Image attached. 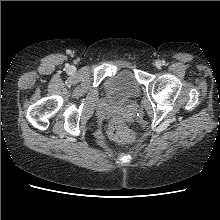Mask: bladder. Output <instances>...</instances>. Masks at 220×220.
Here are the masks:
<instances>
[{
  "label": "bladder",
  "mask_w": 220,
  "mask_h": 220,
  "mask_svg": "<svg viewBox=\"0 0 220 220\" xmlns=\"http://www.w3.org/2000/svg\"><path fill=\"white\" fill-rule=\"evenodd\" d=\"M106 91L116 102L125 103L139 95L140 85L132 73L122 70L107 80Z\"/></svg>",
  "instance_id": "bladder-1"
}]
</instances>
